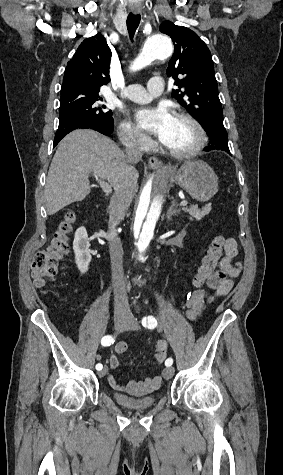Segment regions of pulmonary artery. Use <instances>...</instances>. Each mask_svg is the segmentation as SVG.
<instances>
[{
  "mask_svg": "<svg viewBox=\"0 0 283 475\" xmlns=\"http://www.w3.org/2000/svg\"><path fill=\"white\" fill-rule=\"evenodd\" d=\"M148 88L141 85H133L125 89V94L131 101L144 103L149 101L152 96H164L166 92L163 80H149ZM120 96L123 98L125 95L122 93Z\"/></svg>",
  "mask_w": 283,
  "mask_h": 475,
  "instance_id": "e3ab8cb5",
  "label": "pulmonary artery"
}]
</instances>
